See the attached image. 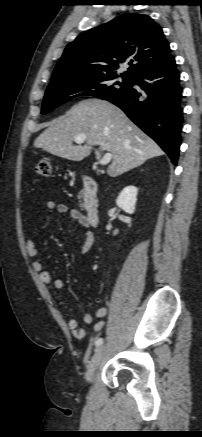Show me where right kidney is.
<instances>
[{
  "label": "right kidney",
  "instance_id": "right-kidney-1",
  "mask_svg": "<svg viewBox=\"0 0 202 437\" xmlns=\"http://www.w3.org/2000/svg\"><path fill=\"white\" fill-rule=\"evenodd\" d=\"M138 189L135 186L125 187L119 194L116 204L128 214H133L137 201Z\"/></svg>",
  "mask_w": 202,
  "mask_h": 437
}]
</instances>
